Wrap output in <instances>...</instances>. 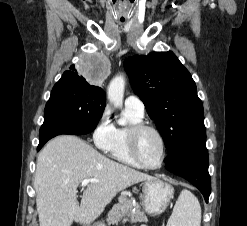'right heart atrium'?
Instances as JSON below:
<instances>
[{"mask_svg": "<svg viewBox=\"0 0 247 226\" xmlns=\"http://www.w3.org/2000/svg\"><path fill=\"white\" fill-rule=\"evenodd\" d=\"M111 137L112 124L109 120V111L105 109L93 131V141L99 149L104 150L109 145Z\"/></svg>", "mask_w": 247, "mask_h": 226, "instance_id": "obj_1", "label": "right heart atrium"}]
</instances>
